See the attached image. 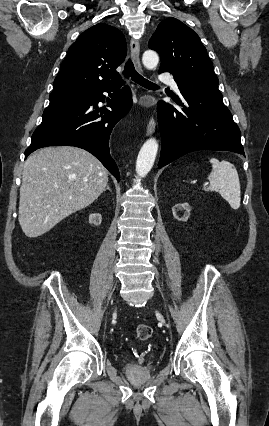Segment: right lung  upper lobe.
I'll list each match as a JSON object with an SVG mask.
<instances>
[{
  "label": "right lung upper lobe",
  "instance_id": "1",
  "mask_svg": "<svg viewBox=\"0 0 269 426\" xmlns=\"http://www.w3.org/2000/svg\"><path fill=\"white\" fill-rule=\"evenodd\" d=\"M126 56L124 35L117 28L99 23L84 31L70 46L52 92H88L116 85V68Z\"/></svg>",
  "mask_w": 269,
  "mask_h": 426
}]
</instances>
